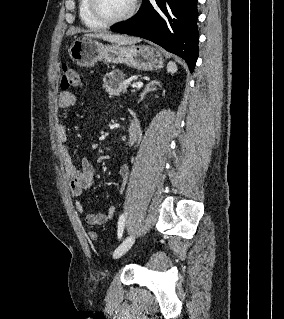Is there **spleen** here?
Returning a JSON list of instances; mask_svg holds the SVG:
<instances>
[{"mask_svg":"<svg viewBox=\"0 0 284 319\" xmlns=\"http://www.w3.org/2000/svg\"><path fill=\"white\" fill-rule=\"evenodd\" d=\"M177 70H178V68H177V65L175 64V62L169 61L168 65H167L168 73L174 74L177 72Z\"/></svg>","mask_w":284,"mask_h":319,"instance_id":"spleen-1","label":"spleen"}]
</instances>
